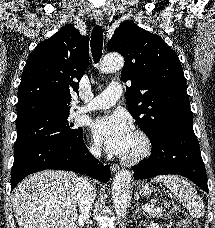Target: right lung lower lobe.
I'll return each instance as SVG.
<instances>
[{"instance_id":"right-lung-lower-lobe-1","label":"right lung lower lobe","mask_w":215,"mask_h":228,"mask_svg":"<svg viewBox=\"0 0 215 228\" xmlns=\"http://www.w3.org/2000/svg\"><path fill=\"white\" fill-rule=\"evenodd\" d=\"M11 171V191L26 176L45 169L74 171L103 183L110 179V167L97 164L83 140L70 142L50 139L28 144L15 150Z\"/></svg>"}]
</instances>
